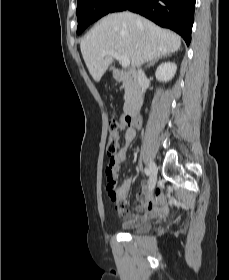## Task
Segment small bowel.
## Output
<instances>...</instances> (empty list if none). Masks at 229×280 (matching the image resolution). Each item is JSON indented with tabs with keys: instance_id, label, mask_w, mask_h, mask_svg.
Listing matches in <instances>:
<instances>
[{
	"instance_id": "small-bowel-1",
	"label": "small bowel",
	"mask_w": 229,
	"mask_h": 280,
	"mask_svg": "<svg viewBox=\"0 0 229 280\" xmlns=\"http://www.w3.org/2000/svg\"><path fill=\"white\" fill-rule=\"evenodd\" d=\"M135 138V132L129 130L126 132V142L121 146L114 159V174L123 168L126 163V151L128 143ZM134 182L131 178L126 179L120 186H113L110 181L107 183L108 195L115 204L119 214L125 219L124 228H130L136 225L139 221L157 216H164L167 211V203L164 192L161 188H157L155 192L146 182H143L136 193L138 204L135 207L137 214L132 213L127 209V204L130 197V192ZM155 194V197H153Z\"/></svg>"
}]
</instances>
